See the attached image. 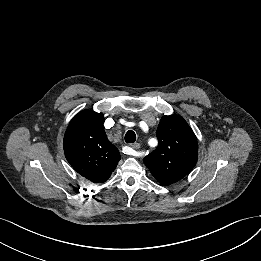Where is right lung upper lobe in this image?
Returning a JSON list of instances; mask_svg holds the SVG:
<instances>
[{
    "label": "right lung upper lobe",
    "instance_id": "cb5924a9",
    "mask_svg": "<svg viewBox=\"0 0 261 261\" xmlns=\"http://www.w3.org/2000/svg\"><path fill=\"white\" fill-rule=\"evenodd\" d=\"M103 122V114L83 110L71 120L64 135L66 159L94 183L105 182L120 160L118 149L107 139Z\"/></svg>",
    "mask_w": 261,
    "mask_h": 261
}]
</instances>
